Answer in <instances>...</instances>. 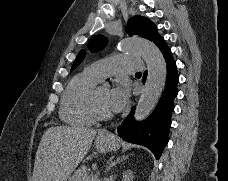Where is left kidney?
Returning a JSON list of instances; mask_svg holds the SVG:
<instances>
[{
  "instance_id": "left-kidney-1",
  "label": "left kidney",
  "mask_w": 228,
  "mask_h": 181,
  "mask_svg": "<svg viewBox=\"0 0 228 181\" xmlns=\"http://www.w3.org/2000/svg\"><path fill=\"white\" fill-rule=\"evenodd\" d=\"M132 179H134L133 171H126V173H123L122 181H132Z\"/></svg>"
}]
</instances>
